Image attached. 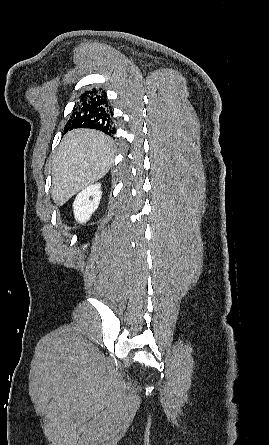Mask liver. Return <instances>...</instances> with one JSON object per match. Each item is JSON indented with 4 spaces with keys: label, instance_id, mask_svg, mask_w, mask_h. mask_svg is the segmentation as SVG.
Instances as JSON below:
<instances>
[{
    "label": "liver",
    "instance_id": "1",
    "mask_svg": "<svg viewBox=\"0 0 269 445\" xmlns=\"http://www.w3.org/2000/svg\"><path fill=\"white\" fill-rule=\"evenodd\" d=\"M114 160L113 141L96 130L66 134L52 166L51 197L62 206L88 185L103 178Z\"/></svg>",
    "mask_w": 269,
    "mask_h": 445
}]
</instances>
